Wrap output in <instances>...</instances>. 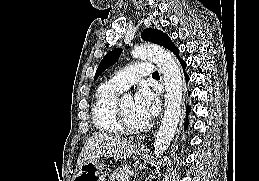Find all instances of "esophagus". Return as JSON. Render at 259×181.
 Instances as JSON below:
<instances>
[{
  "instance_id": "34e87169",
  "label": "esophagus",
  "mask_w": 259,
  "mask_h": 181,
  "mask_svg": "<svg viewBox=\"0 0 259 181\" xmlns=\"http://www.w3.org/2000/svg\"><path fill=\"white\" fill-rule=\"evenodd\" d=\"M142 149H144L145 148V146L144 145H142V147H141Z\"/></svg>"
}]
</instances>
